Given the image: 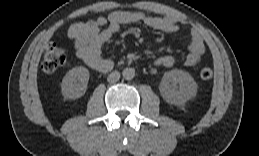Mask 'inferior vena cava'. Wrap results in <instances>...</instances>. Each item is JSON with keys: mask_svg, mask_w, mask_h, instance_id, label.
I'll list each match as a JSON object with an SVG mask.
<instances>
[{"mask_svg": "<svg viewBox=\"0 0 259 156\" xmlns=\"http://www.w3.org/2000/svg\"><path fill=\"white\" fill-rule=\"evenodd\" d=\"M120 79V73L118 71H113L107 77V81L110 83H115Z\"/></svg>", "mask_w": 259, "mask_h": 156, "instance_id": "obj_1", "label": "inferior vena cava"}]
</instances>
